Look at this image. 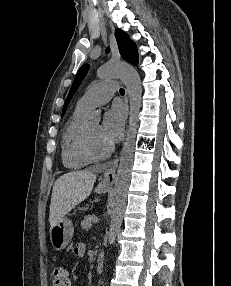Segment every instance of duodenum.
Returning a JSON list of instances; mask_svg holds the SVG:
<instances>
[{
	"instance_id": "duodenum-1",
	"label": "duodenum",
	"mask_w": 231,
	"mask_h": 286,
	"mask_svg": "<svg viewBox=\"0 0 231 286\" xmlns=\"http://www.w3.org/2000/svg\"><path fill=\"white\" fill-rule=\"evenodd\" d=\"M104 268V255L103 253H99L97 256V261H96V272L101 273Z\"/></svg>"
}]
</instances>
